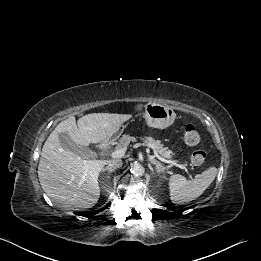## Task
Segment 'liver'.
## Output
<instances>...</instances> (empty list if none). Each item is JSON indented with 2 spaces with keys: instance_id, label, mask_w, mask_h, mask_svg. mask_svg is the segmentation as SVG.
<instances>
[{
  "instance_id": "1",
  "label": "liver",
  "mask_w": 261,
  "mask_h": 261,
  "mask_svg": "<svg viewBox=\"0 0 261 261\" xmlns=\"http://www.w3.org/2000/svg\"><path fill=\"white\" fill-rule=\"evenodd\" d=\"M130 118L126 114L92 113L77 123L73 116L60 122L44 143L38 165L39 181L48 197L69 209H87L97 203L98 176L107 161L89 160L63 149L59 134L65 132L77 145L87 147L107 141Z\"/></svg>"
}]
</instances>
